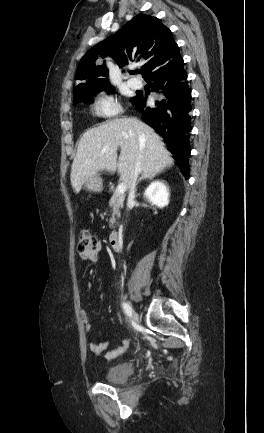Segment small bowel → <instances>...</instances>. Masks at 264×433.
<instances>
[{
    "mask_svg": "<svg viewBox=\"0 0 264 433\" xmlns=\"http://www.w3.org/2000/svg\"><path fill=\"white\" fill-rule=\"evenodd\" d=\"M101 250H102V243L98 242L92 251L87 252V253H83L80 255V257L85 262H95L98 259V256H99V253ZM81 318H82V321L85 325L86 331H88V332L91 331L92 330V324L90 323L89 317H88L85 310L81 311ZM129 345H130V339H125L116 350L106 352L105 358L110 360V359H113V358L121 355ZM108 346H109L108 341L92 342V343H90L89 348L93 354L99 355L102 352L106 351Z\"/></svg>",
    "mask_w": 264,
    "mask_h": 433,
    "instance_id": "1",
    "label": "small bowel"
}]
</instances>
